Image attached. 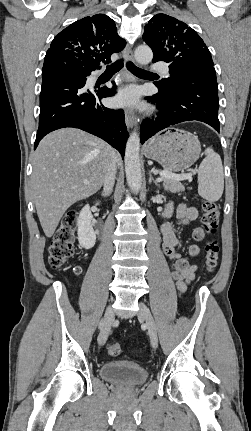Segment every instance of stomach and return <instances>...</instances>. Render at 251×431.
<instances>
[{"instance_id":"0dacf381","label":"stomach","mask_w":251,"mask_h":431,"mask_svg":"<svg viewBox=\"0 0 251 431\" xmlns=\"http://www.w3.org/2000/svg\"><path fill=\"white\" fill-rule=\"evenodd\" d=\"M144 152L147 158L157 161L165 170L179 172L198 159L201 145L192 133L168 128L153 137Z\"/></svg>"}]
</instances>
